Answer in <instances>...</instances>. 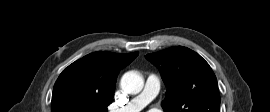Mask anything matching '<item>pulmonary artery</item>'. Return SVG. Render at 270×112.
<instances>
[{"mask_svg":"<svg viewBox=\"0 0 270 112\" xmlns=\"http://www.w3.org/2000/svg\"><path fill=\"white\" fill-rule=\"evenodd\" d=\"M160 90V79L155 74H149L142 92L127 105L116 108L111 112H139L151 102Z\"/></svg>","mask_w":270,"mask_h":112,"instance_id":"obj_1","label":"pulmonary artery"}]
</instances>
